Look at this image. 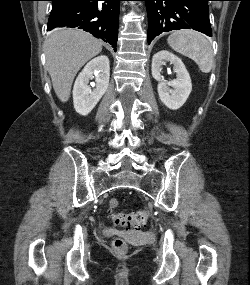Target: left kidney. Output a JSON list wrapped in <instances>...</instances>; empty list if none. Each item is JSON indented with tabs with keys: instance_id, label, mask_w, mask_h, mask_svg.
Returning a JSON list of instances; mask_svg holds the SVG:
<instances>
[{
	"instance_id": "1",
	"label": "left kidney",
	"mask_w": 250,
	"mask_h": 285,
	"mask_svg": "<svg viewBox=\"0 0 250 285\" xmlns=\"http://www.w3.org/2000/svg\"><path fill=\"white\" fill-rule=\"evenodd\" d=\"M170 62L174 67L176 79L166 81L161 75L162 65ZM152 76L158 81V94L161 102L171 110L179 109L188 99L192 83L185 65L176 55L162 50L154 54L152 58ZM172 87V89H170Z\"/></svg>"
}]
</instances>
